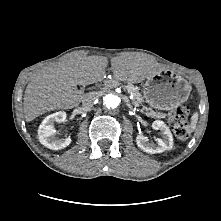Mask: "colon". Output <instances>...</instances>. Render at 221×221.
Segmentation results:
<instances>
[{
	"mask_svg": "<svg viewBox=\"0 0 221 221\" xmlns=\"http://www.w3.org/2000/svg\"><path fill=\"white\" fill-rule=\"evenodd\" d=\"M188 115L189 108L187 106H179L169 114L172 130L180 140H185L189 137Z\"/></svg>",
	"mask_w": 221,
	"mask_h": 221,
	"instance_id": "1",
	"label": "colon"
}]
</instances>
